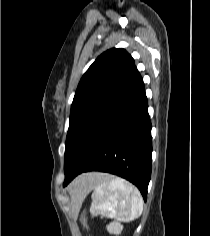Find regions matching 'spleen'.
Returning a JSON list of instances; mask_svg holds the SVG:
<instances>
[{
  "mask_svg": "<svg viewBox=\"0 0 210 236\" xmlns=\"http://www.w3.org/2000/svg\"><path fill=\"white\" fill-rule=\"evenodd\" d=\"M92 189L90 212L93 216L101 214L121 222H130L142 214L143 199L131 183L103 174L85 186L87 193Z\"/></svg>",
  "mask_w": 210,
  "mask_h": 236,
  "instance_id": "3e777b00",
  "label": "spleen"
}]
</instances>
